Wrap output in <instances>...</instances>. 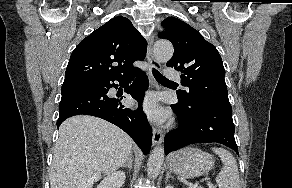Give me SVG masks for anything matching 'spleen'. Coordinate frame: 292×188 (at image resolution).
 <instances>
[{"label": "spleen", "mask_w": 292, "mask_h": 188, "mask_svg": "<svg viewBox=\"0 0 292 188\" xmlns=\"http://www.w3.org/2000/svg\"><path fill=\"white\" fill-rule=\"evenodd\" d=\"M212 150L221 158L223 167L216 182L219 188H240L239 171L234 156L223 148L214 147Z\"/></svg>", "instance_id": "spleen-1"}]
</instances>
